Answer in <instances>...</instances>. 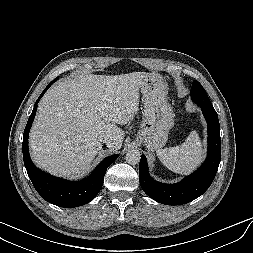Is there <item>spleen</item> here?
<instances>
[{"label": "spleen", "instance_id": "3e777b00", "mask_svg": "<svg viewBox=\"0 0 253 253\" xmlns=\"http://www.w3.org/2000/svg\"><path fill=\"white\" fill-rule=\"evenodd\" d=\"M162 164L174 173L188 175L201 163L203 149L196 131H192L179 146L157 150Z\"/></svg>", "mask_w": 253, "mask_h": 253}]
</instances>
